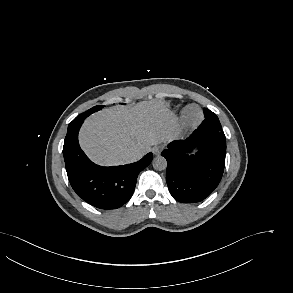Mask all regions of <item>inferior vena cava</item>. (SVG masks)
<instances>
[{"label": "inferior vena cava", "instance_id": "obj_1", "mask_svg": "<svg viewBox=\"0 0 293 293\" xmlns=\"http://www.w3.org/2000/svg\"><path fill=\"white\" fill-rule=\"evenodd\" d=\"M142 156L143 155L141 153H133L130 155V162H135V161L141 159Z\"/></svg>", "mask_w": 293, "mask_h": 293}]
</instances>
